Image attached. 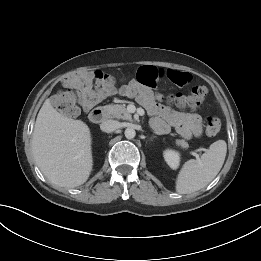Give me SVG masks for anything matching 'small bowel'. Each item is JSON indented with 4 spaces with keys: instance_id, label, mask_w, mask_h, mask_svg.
<instances>
[{
    "instance_id": "c3829d8e",
    "label": "small bowel",
    "mask_w": 261,
    "mask_h": 261,
    "mask_svg": "<svg viewBox=\"0 0 261 261\" xmlns=\"http://www.w3.org/2000/svg\"><path fill=\"white\" fill-rule=\"evenodd\" d=\"M93 79L92 73L81 72L64 80L65 86L76 90L79 103L85 111L108 97L121 95L135 98L152 116L153 128L160 134L174 129L186 140L203 134V121L198 113L174 111L160 104L157 101L160 97L155 96L152 91V88L163 79H168L178 86L186 85L191 81L189 73L172 69L164 70L155 66H142L137 71L136 79L119 88L113 84L94 88Z\"/></svg>"
}]
</instances>
